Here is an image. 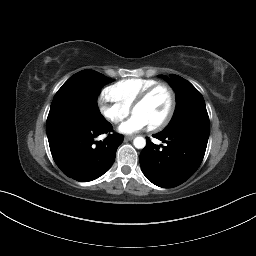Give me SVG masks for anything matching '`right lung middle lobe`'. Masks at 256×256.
Returning <instances> with one entry per match:
<instances>
[{
	"instance_id": "right-lung-middle-lobe-1",
	"label": "right lung middle lobe",
	"mask_w": 256,
	"mask_h": 256,
	"mask_svg": "<svg viewBox=\"0 0 256 256\" xmlns=\"http://www.w3.org/2000/svg\"><path fill=\"white\" fill-rule=\"evenodd\" d=\"M112 81L93 70L74 74L55 94L47 120L73 118L106 121L98 109L97 97L102 86Z\"/></svg>"
}]
</instances>
